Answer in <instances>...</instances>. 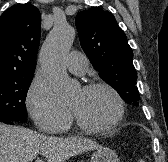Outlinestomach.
Here are the masks:
<instances>
[{
    "label": "stomach",
    "instance_id": "obj_1",
    "mask_svg": "<svg viewBox=\"0 0 168 162\" xmlns=\"http://www.w3.org/2000/svg\"><path fill=\"white\" fill-rule=\"evenodd\" d=\"M91 162H119V158L113 150L101 147L94 151Z\"/></svg>",
    "mask_w": 168,
    "mask_h": 162
}]
</instances>
